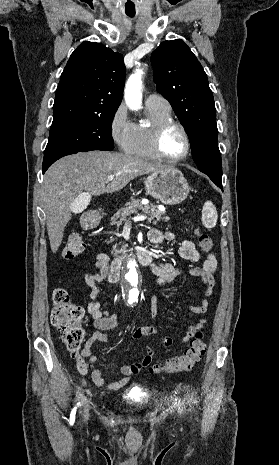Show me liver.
Segmentation results:
<instances>
[{
	"label": "liver",
	"mask_w": 279,
	"mask_h": 465,
	"mask_svg": "<svg viewBox=\"0 0 279 465\" xmlns=\"http://www.w3.org/2000/svg\"><path fill=\"white\" fill-rule=\"evenodd\" d=\"M164 168L167 167L108 151L78 153L56 161L44 174L41 187V203L52 252H57L65 227L71 220L72 201L83 192L95 196L113 193L139 176ZM108 176H114V179L108 181Z\"/></svg>",
	"instance_id": "1"
}]
</instances>
